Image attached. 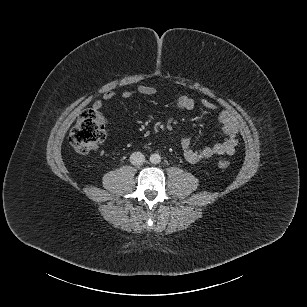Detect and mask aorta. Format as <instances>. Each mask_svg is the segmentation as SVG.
<instances>
[{"instance_id": "1", "label": "aorta", "mask_w": 307, "mask_h": 307, "mask_svg": "<svg viewBox=\"0 0 307 307\" xmlns=\"http://www.w3.org/2000/svg\"><path fill=\"white\" fill-rule=\"evenodd\" d=\"M149 161L152 164H159L161 162V156L158 153H153L150 155Z\"/></svg>"}]
</instances>
